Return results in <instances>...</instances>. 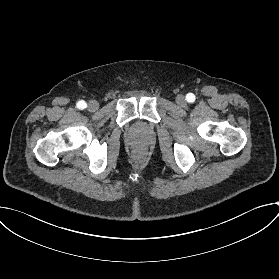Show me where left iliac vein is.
<instances>
[{
  "mask_svg": "<svg viewBox=\"0 0 279 279\" xmlns=\"http://www.w3.org/2000/svg\"><path fill=\"white\" fill-rule=\"evenodd\" d=\"M176 104L182 107L186 106L187 105L186 98L182 94L177 95Z\"/></svg>",
  "mask_w": 279,
  "mask_h": 279,
  "instance_id": "4c4485c4",
  "label": "left iliac vein"
}]
</instances>
